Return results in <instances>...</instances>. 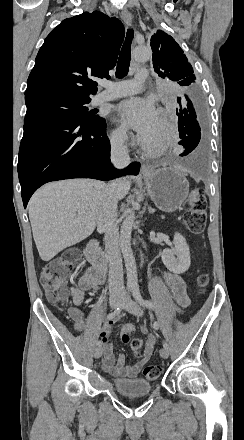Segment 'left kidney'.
<instances>
[{
    "mask_svg": "<svg viewBox=\"0 0 244 440\" xmlns=\"http://www.w3.org/2000/svg\"><path fill=\"white\" fill-rule=\"evenodd\" d=\"M174 248H166L162 252V262L169 272L173 274H184L190 268V252L189 246L181 236L175 232L173 240Z\"/></svg>",
    "mask_w": 244,
    "mask_h": 440,
    "instance_id": "1",
    "label": "left kidney"
}]
</instances>
